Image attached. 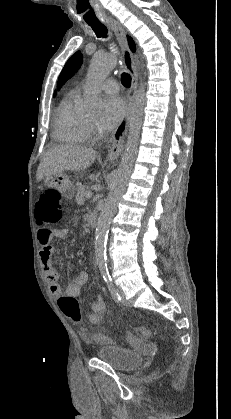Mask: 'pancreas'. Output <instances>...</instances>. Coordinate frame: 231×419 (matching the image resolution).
<instances>
[{"instance_id": "pancreas-1", "label": "pancreas", "mask_w": 231, "mask_h": 419, "mask_svg": "<svg viewBox=\"0 0 231 419\" xmlns=\"http://www.w3.org/2000/svg\"><path fill=\"white\" fill-rule=\"evenodd\" d=\"M76 190H77V195H76V203L78 205H83L85 203V193H86V189L87 187L82 185L81 183L77 182L76 183Z\"/></svg>"}]
</instances>
